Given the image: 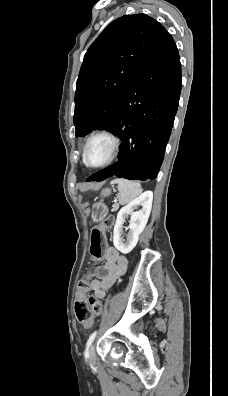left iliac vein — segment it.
<instances>
[{
    "label": "left iliac vein",
    "instance_id": "obj_1",
    "mask_svg": "<svg viewBox=\"0 0 228 396\" xmlns=\"http://www.w3.org/2000/svg\"><path fill=\"white\" fill-rule=\"evenodd\" d=\"M88 359H89V362H90L91 364H94L95 361H96L95 345H94V344H92V345L90 346Z\"/></svg>",
    "mask_w": 228,
    "mask_h": 396
}]
</instances>
